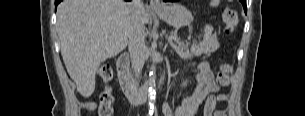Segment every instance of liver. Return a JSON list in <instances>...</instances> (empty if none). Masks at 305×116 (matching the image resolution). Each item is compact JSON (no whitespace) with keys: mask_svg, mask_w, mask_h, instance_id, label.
I'll use <instances>...</instances> for the list:
<instances>
[{"mask_svg":"<svg viewBox=\"0 0 305 116\" xmlns=\"http://www.w3.org/2000/svg\"><path fill=\"white\" fill-rule=\"evenodd\" d=\"M133 17L131 3L123 0H63L58 5L61 55L83 97L94 92L100 64L126 48ZM139 17L143 26L148 23L145 7Z\"/></svg>","mask_w":305,"mask_h":116,"instance_id":"6515ba94","label":"liver"}]
</instances>
